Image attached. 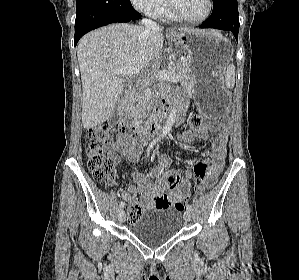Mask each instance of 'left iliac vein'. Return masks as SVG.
<instances>
[{"label": "left iliac vein", "mask_w": 299, "mask_h": 280, "mask_svg": "<svg viewBox=\"0 0 299 280\" xmlns=\"http://www.w3.org/2000/svg\"><path fill=\"white\" fill-rule=\"evenodd\" d=\"M191 217H192L191 211L190 210H186L184 212V219H185V221H190Z\"/></svg>", "instance_id": "obj_1"}]
</instances>
